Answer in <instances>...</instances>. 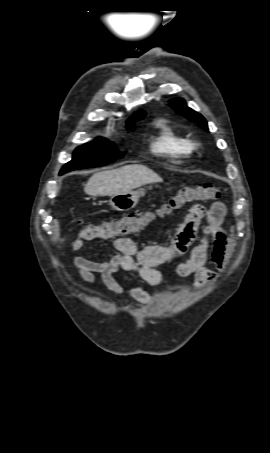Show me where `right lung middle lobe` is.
Here are the masks:
<instances>
[{
	"instance_id": "right-lung-middle-lobe-1",
	"label": "right lung middle lobe",
	"mask_w": 270,
	"mask_h": 453,
	"mask_svg": "<svg viewBox=\"0 0 270 453\" xmlns=\"http://www.w3.org/2000/svg\"><path fill=\"white\" fill-rule=\"evenodd\" d=\"M133 128L134 125L128 127V130ZM123 156L124 153L119 152L112 143L104 138H98L94 142L78 147L72 160L61 169L60 175L71 170L102 166Z\"/></svg>"
}]
</instances>
